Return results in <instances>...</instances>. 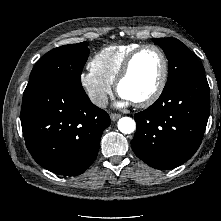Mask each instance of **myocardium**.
Instances as JSON below:
<instances>
[{"label":"myocardium","mask_w":221,"mask_h":221,"mask_svg":"<svg viewBox=\"0 0 221 221\" xmlns=\"http://www.w3.org/2000/svg\"><path fill=\"white\" fill-rule=\"evenodd\" d=\"M146 49H154L158 52V54L160 55L161 60H162V71H161V76H160L159 82H158L155 90L147 98H145L141 101L134 102V104L138 107L151 106L160 98V96L162 95V93L165 89L167 79H168V71H169L168 59H167L165 52L158 45H155V44H143V45L139 46L138 48L133 50L128 55V57L126 58L123 66H122V68H121L120 72L118 73L117 78L115 80L116 91L120 96H122L121 92H120L121 84L130 74L132 65H133L136 57L142 51H144Z\"/></svg>","instance_id":"1"}]
</instances>
